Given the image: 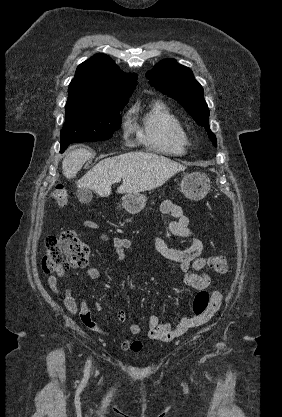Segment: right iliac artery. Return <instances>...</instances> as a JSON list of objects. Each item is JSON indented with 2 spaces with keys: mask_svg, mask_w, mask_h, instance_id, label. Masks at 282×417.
<instances>
[{
  "mask_svg": "<svg viewBox=\"0 0 282 417\" xmlns=\"http://www.w3.org/2000/svg\"><path fill=\"white\" fill-rule=\"evenodd\" d=\"M90 365H91V361L88 360L87 363H86L85 371H84L85 374H88L89 373V371H90Z\"/></svg>",
  "mask_w": 282,
  "mask_h": 417,
  "instance_id": "obj_1",
  "label": "right iliac artery"
}]
</instances>
